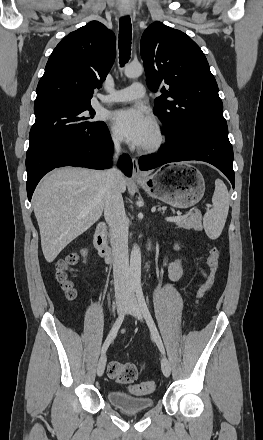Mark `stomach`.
I'll use <instances>...</instances> for the list:
<instances>
[{
  "mask_svg": "<svg viewBox=\"0 0 263 440\" xmlns=\"http://www.w3.org/2000/svg\"><path fill=\"white\" fill-rule=\"evenodd\" d=\"M168 169L173 170V173L168 172ZM168 169L156 172L138 183L148 195L173 207L188 208L198 203L205 192L202 174L190 165L185 173L180 165Z\"/></svg>",
  "mask_w": 263,
  "mask_h": 440,
  "instance_id": "stomach-1",
  "label": "stomach"
}]
</instances>
